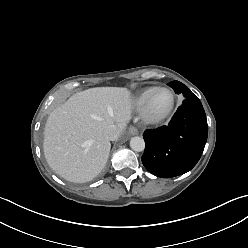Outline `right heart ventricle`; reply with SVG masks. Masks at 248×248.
Listing matches in <instances>:
<instances>
[{
  "mask_svg": "<svg viewBox=\"0 0 248 248\" xmlns=\"http://www.w3.org/2000/svg\"><path fill=\"white\" fill-rule=\"evenodd\" d=\"M153 88H147L144 91H142L138 97L135 100V105L137 108H141L147 95L149 94V92L152 90Z\"/></svg>",
  "mask_w": 248,
  "mask_h": 248,
  "instance_id": "1",
  "label": "right heart ventricle"
}]
</instances>
